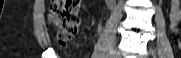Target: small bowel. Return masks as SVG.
Instances as JSON below:
<instances>
[{
    "label": "small bowel",
    "mask_w": 181,
    "mask_h": 58,
    "mask_svg": "<svg viewBox=\"0 0 181 58\" xmlns=\"http://www.w3.org/2000/svg\"><path fill=\"white\" fill-rule=\"evenodd\" d=\"M169 17L171 28L174 32L178 31V23L181 20V5L178 0H172L169 7Z\"/></svg>",
    "instance_id": "1"
}]
</instances>
